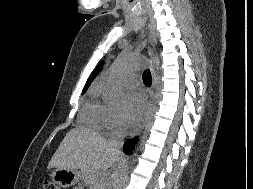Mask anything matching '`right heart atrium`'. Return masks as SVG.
<instances>
[{
	"label": "right heart atrium",
	"instance_id": "d8ad5b80",
	"mask_svg": "<svg viewBox=\"0 0 253 189\" xmlns=\"http://www.w3.org/2000/svg\"><path fill=\"white\" fill-rule=\"evenodd\" d=\"M104 126L108 129L117 130L122 127L121 115L116 110L105 106Z\"/></svg>",
	"mask_w": 253,
	"mask_h": 189
}]
</instances>
